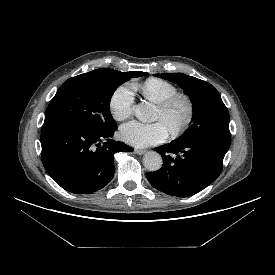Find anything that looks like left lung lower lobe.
I'll list each match as a JSON object with an SVG mask.
<instances>
[{
  "label": "left lung lower lobe",
  "instance_id": "0a47b994",
  "mask_svg": "<svg viewBox=\"0 0 275 275\" xmlns=\"http://www.w3.org/2000/svg\"><path fill=\"white\" fill-rule=\"evenodd\" d=\"M229 147L207 142H179L156 147L163 166L148 172L147 179L157 190L178 197L192 196L210 185L221 173Z\"/></svg>",
  "mask_w": 275,
  "mask_h": 275
}]
</instances>
